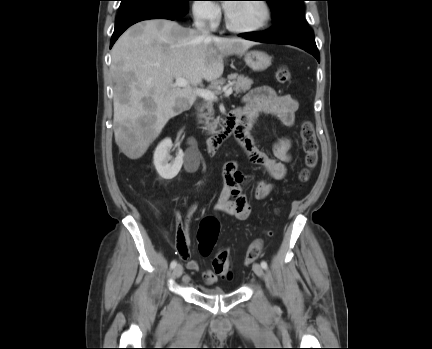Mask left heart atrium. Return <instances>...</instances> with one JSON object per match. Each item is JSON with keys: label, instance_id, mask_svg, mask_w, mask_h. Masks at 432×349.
<instances>
[{"label": "left heart atrium", "instance_id": "left-heart-atrium-1", "mask_svg": "<svg viewBox=\"0 0 432 349\" xmlns=\"http://www.w3.org/2000/svg\"><path fill=\"white\" fill-rule=\"evenodd\" d=\"M231 3H226L225 5H224V7H225V9L228 11L229 9H230V7H231Z\"/></svg>", "mask_w": 432, "mask_h": 349}]
</instances>
